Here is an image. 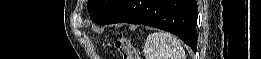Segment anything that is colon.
<instances>
[{
	"label": "colon",
	"instance_id": "1",
	"mask_svg": "<svg viewBox=\"0 0 261 59\" xmlns=\"http://www.w3.org/2000/svg\"><path fill=\"white\" fill-rule=\"evenodd\" d=\"M115 47L124 59L133 58V48L129 41L124 38L115 40Z\"/></svg>",
	"mask_w": 261,
	"mask_h": 59
}]
</instances>
